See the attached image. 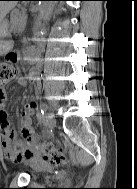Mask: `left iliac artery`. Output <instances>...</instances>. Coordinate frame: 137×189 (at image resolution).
<instances>
[{"label": "left iliac artery", "mask_w": 137, "mask_h": 189, "mask_svg": "<svg viewBox=\"0 0 137 189\" xmlns=\"http://www.w3.org/2000/svg\"><path fill=\"white\" fill-rule=\"evenodd\" d=\"M46 109H47V105L46 104H43L40 107V111L37 113V118L39 119V121L43 120L44 112L46 111ZM43 128H45V125H40V131H43Z\"/></svg>", "instance_id": "1"}]
</instances>
